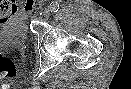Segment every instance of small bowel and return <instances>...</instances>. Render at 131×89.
Masks as SVG:
<instances>
[{"instance_id":"obj_1","label":"small bowel","mask_w":131,"mask_h":89,"mask_svg":"<svg viewBox=\"0 0 131 89\" xmlns=\"http://www.w3.org/2000/svg\"><path fill=\"white\" fill-rule=\"evenodd\" d=\"M34 8H35V4L33 0H26L24 4L22 5H16V4L12 5L13 12L18 11L20 14H23V15L30 14L31 12H33ZM7 21H8V18L6 16V12H1L0 22H7Z\"/></svg>"}]
</instances>
